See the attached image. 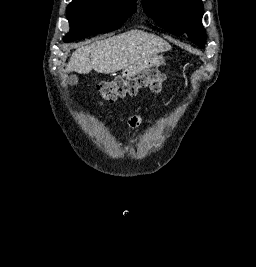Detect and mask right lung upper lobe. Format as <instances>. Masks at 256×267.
I'll use <instances>...</instances> for the list:
<instances>
[{
	"label": "right lung upper lobe",
	"mask_w": 256,
	"mask_h": 267,
	"mask_svg": "<svg viewBox=\"0 0 256 267\" xmlns=\"http://www.w3.org/2000/svg\"><path fill=\"white\" fill-rule=\"evenodd\" d=\"M126 1H132V2H135L136 0H126Z\"/></svg>",
	"instance_id": "1"
}]
</instances>
